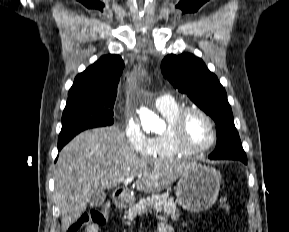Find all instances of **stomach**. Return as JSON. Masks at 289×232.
<instances>
[{"label": "stomach", "instance_id": "0dacf381", "mask_svg": "<svg viewBox=\"0 0 289 232\" xmlns=\"http://www.w3.org/2000/svg\"><path fill=\"white\" fill-rule=\"evenodd\" d=\"M221 175L214 168L192 163L180 176L176 187L177 202L190 212H202L216 201Z\"/></svg>", "mask_w": 289, "mask_h": 232}]
</instances>
